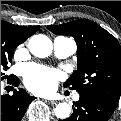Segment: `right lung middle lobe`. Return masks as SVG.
Wrapping results in <instances>:
<instances>
[{"label": "right lung middle lobe", "mask_w": 121, "mask_h": 121, "mask_svg": "<svg viewBox=\"0 0 121 121\" xmlns=\"http://www.w3.org/2000/svg\"><path fill=\"white\" fill-rule=\"evenodd\" d=\"M25 40L13 25L1 20V80L7 77L4 71L12 61L15 48Z\"/></svg>", "instance_id": "1"}]
</instances>
